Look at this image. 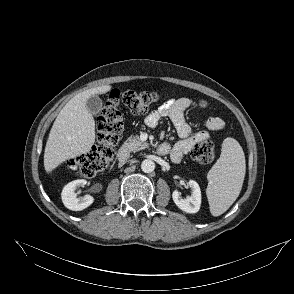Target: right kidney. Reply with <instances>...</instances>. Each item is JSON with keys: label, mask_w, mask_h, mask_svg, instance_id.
Instances as JSON below:
<instances>
[{"label": "right kidney", "mask_w": 294, "mask_h": 294, "mask_svg": "<svg viewBox=\"0 0 294 294\" xmlns=\"http://www.w3.org/2000/svg\"><path fill=\"white\" fill-rule=\"evenodd\" d=\"M87 183L84 179L74 180L68 183L62 190L61 197L64 206L73 211H81L89 207L94 198L91 195H86L82 198H78L75 193L76 189L85 186Z\"/></svg>", "instance_id": "obj_1"}]
</instances>
